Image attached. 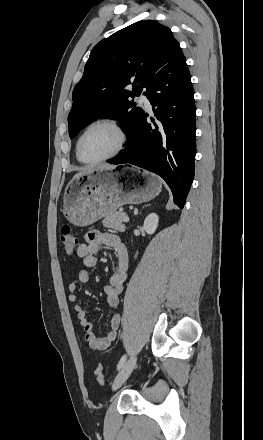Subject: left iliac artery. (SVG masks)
Here are the masks:
<instances>
[{
    "mask_svg": "<svg viewBox=\"0 0 263 440\" xmlns=\"http://www.w3.org/2000/svg\"><path fill=\"white\" fill-rule=\"evenodd\" d=\"M125 361H126V356L123 355L118 363V366H117L118 370L124 365Z\"/></svg>",
    "mask_w": 263,
    "mask_h": 440,
    "instance_id": "1",
    "label": "left iliac artery"
}]
</instances>
